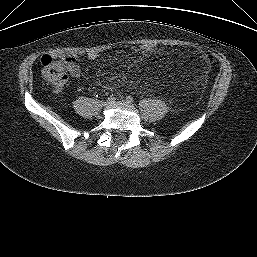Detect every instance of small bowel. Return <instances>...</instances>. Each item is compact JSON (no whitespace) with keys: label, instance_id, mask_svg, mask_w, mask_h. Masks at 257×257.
Instances as JSON below:
<instances>
[{"label":"small bowel","instance_id":"small-bowel-1","mask_svg":"<svg viewBox=\"0 0 257 257\" xmlns=\"http://www.w3.org/2000/svg\"><path fill=\"white\" fill-rule=\"evenodd\" d=\"M52 58H58V64L69 73V75L73 78H79L81 74L80 66L78 63L77 55H66V54H58L55 53ZM90 59H96V53L89 54Z\"/></svg>","mask_w":257,"mask_h":257}]
</instances>
